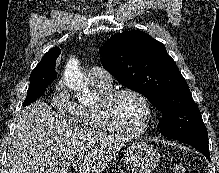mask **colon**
Listing matches in <instances>:
<instances>
[{"instance_id": "5ec220e1", "label": "colon", "mask_w": 219, "mask_h": 173, "mask_svg": "<svg viewBox=\"0 0 219 173\" xmlns=\"http://www.w3.org/2000/svg\"><path fill=\"white\" fill-rule=\"evenodd\" d=\"M173 173H187L186 168L182 164H176L172 170Z\"/></svg>"}]
</instances>
